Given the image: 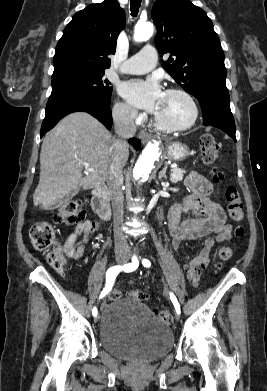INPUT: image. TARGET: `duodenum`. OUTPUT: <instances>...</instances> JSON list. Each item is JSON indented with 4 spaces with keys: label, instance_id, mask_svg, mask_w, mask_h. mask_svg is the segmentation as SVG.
Masks as SVG:
<instances>
[{
    "label": "duodenum",
    "instance_id": "410a0bca",
    "mask_svg": "<svg viewBox=\"0 0 267 391\" xmlns=\"http://www.w3.org/2000/svg\"><path fill=\"white\" fill-rule=\"evenodd\" d=\"M109 192L105 186H99L92 192L91 207L93 211L103 220H109L111 209L109 205Z\"/></svg>",
    "mask_w": 267,
    "mask_h": 391
}]
</instances>
